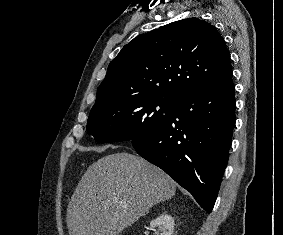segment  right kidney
<instances>
[{
	"mask_svg": "<svg viewBox=\"0 0 283 235\" xmlns=\"http://www.w3.org/2000/svg\"><path fill=\"white\" fill-rule=\"evenodd\" d=\"M158 228L160 235H172L173 229H174V220L172 216L169 214H161L157 218L151 221L150 228ZM145 235H148V231L144 233Z\"/></svg>",
	"mask_w": 283,
	"mask_h": 235,
	"instance_id": "1",
	"label": "right kidney"
}]
</instances>
